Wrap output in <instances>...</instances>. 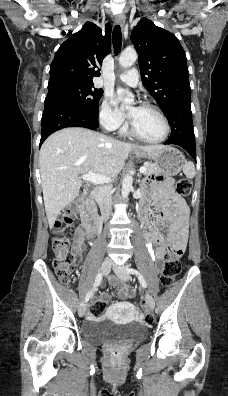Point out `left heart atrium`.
<instances>
[{
	"mask_svg": "<svg viewBox=\"0 0 228 396\" xmlns=\"http://www.w3.org/2000/svg\"><path fill=\"white\" fill-rule=\"evenodd\" d=\"M128 116H129V118L132 120L133 117H134V114H133L132 112H130Z\"/></svg>",
	"mask_w": 228,
	"mask_h": 396,
	"instance_id": "1",
	"label": "left heart atrium"
}]
</instances>
